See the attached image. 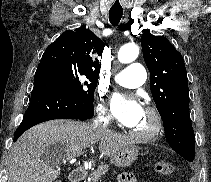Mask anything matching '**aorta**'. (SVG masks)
I'll return each mask as SVG.
<instances>
[{
	"instance_id": "762f6f07",
	"label": "aorta",
	"mask_w": 211,
	"mask_h": 182,
	"mask_svg": "<svg viewBox=\"0 0 211 182\" xmlns=\"http://www.w3.org/2000/svg\"><path fill=\"white\" fill-rule=\"evenodd\" d=\"M139 55V48L134 43L123 45L118 52V60L121 63H130L134 61Z\"/></svg>"
}]
</instances>
